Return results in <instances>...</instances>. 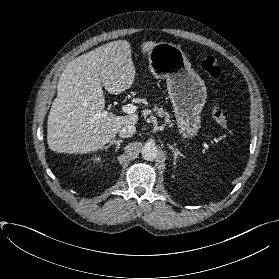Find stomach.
I'll use <instances>...</instances> for the list:
<instances>
[{
    "mask_svg": "<svg viewBox=\"0 0 279 279\" xmlns=\"http://www.w3.org/2000/svg\"><path fill=\"white\" fill-rule=\"evenodd\" d=\"M147 56L151 73L158 79H166L180 134L194 138L201 127L200 114L207 97L204 81L184 52L172 43H155Z\"/></svg>",
    "mask_w": 279,
    "mask_h": 279,
    "instance_id": "obj_1",
    "label": "stomach"
}]
</instances>
